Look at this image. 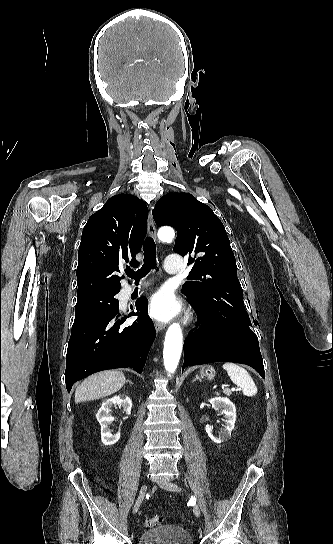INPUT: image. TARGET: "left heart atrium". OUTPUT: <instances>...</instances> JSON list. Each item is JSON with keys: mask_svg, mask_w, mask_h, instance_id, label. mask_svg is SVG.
I'll return each instance as SVG.
<instances>
[{"mask_svg": "<svg viewBox=\"0 0 333 544\" xmlns=\"http://www.w3.org/2000/svg\"><path fill=\"white\" fill-rule=\"evenodd\" d=\"M179 310L180 304L169 290H160L151 298L149 312L155 319L167 321Z\"/></svg>", "mask_w": 333, "mask_h": 544, "instance_id": "1", "label": "left heart atrium"}]
</instances>
